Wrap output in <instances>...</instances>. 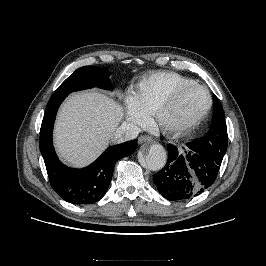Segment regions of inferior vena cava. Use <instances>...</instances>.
<instances>
[{"instance_id":"obj_1","label":"inferior vena cava","mask_w":266,"mask_h":266,"mask_svg":"<svg viewBox=\"0 0 266 266\" xmlns=\"http://www.w3.org/2000/svg\"><path fill=\"white\" fill-rule=\"evenodd\" d=\"M140 128L133 123L123 122L113 133L112 140L117 143L135 139Z\"/></svg>"}]
</instances>
